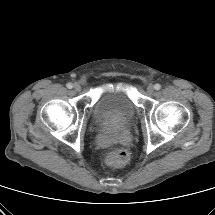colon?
<instances>
[{
    "label": "colon",
    "mask_w": 215,
    "mask_h": 215,
    "mask_svg": "<svg viewBox=\"0 0 215 215\" xmlns=\"http://www.w3.org/2000/svg\"><path fill=\"white\" fill-rule=\"evenodd\" d=\"M129 160V153L124 148H114L112 149L106 157V162L110 166L119 167L127 163Z\"/></svg>",
    "instance_id": "1"
}]
</instances>
